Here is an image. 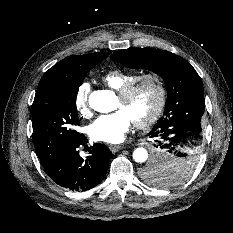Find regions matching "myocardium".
<instances>
[{"label": "myocardium", "mask_w": 233, "mask_h": 233, "mask_svg": "<svg viewBox=\"0 0 233 233\" xmlns=\"http://www.w3.org/2000/svg\"><path fill=\"white\" fill-rule=\"evenodd\" d=\"M151 81L156 88V102L151 113L142 120H135L134 125L139 129H146L155 124L162 115L167 103V89L163 77L153 71H147L136 75L125 83L118 91V97L127 100L135 88L143 81Z\"/></svg>", "instance_id": "f54148a6"}]
</instances>
